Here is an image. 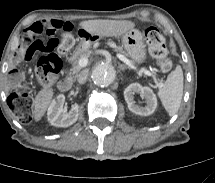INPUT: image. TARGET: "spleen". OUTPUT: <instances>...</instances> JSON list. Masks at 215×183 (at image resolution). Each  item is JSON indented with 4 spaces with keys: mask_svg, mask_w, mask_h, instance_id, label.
Instances as JSON below:
<instances>
[{
    "mask_svg": "<svg viewBox=\"0 0 215 183\" xmlns=\"http://www.w3.org/2000/svg\"><path fill=\"white\" fill-rule=\"evenodd\" d=\"M157 95L170 116L178 112L183 96V72L180 66L167 76Z\"/></svg>",
    "mask_w": 215,
    "mask_h": 183,
    "instance_id": "1",
    "label": "spleen"
}]
</instances>
